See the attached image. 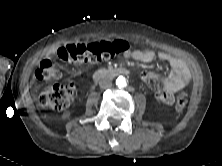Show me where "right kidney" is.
I'll return each mask as SVG.
<instances>
[{
    "label": "right kidney",
    "instance_id": "1",
    "mask_svg": "<svg viewBox=\"0 0 222 166\" xmlns=\"http://www.w3.org/2000/svg\"><path fill=\"white\" fill-rule=\"evenodd\" d=\"M64 116H65V117H68V116H70V113H68V114H64Z\"/></svg>",
    "mask_w": 222,
    "mask_h": 166
}]
</instances>
